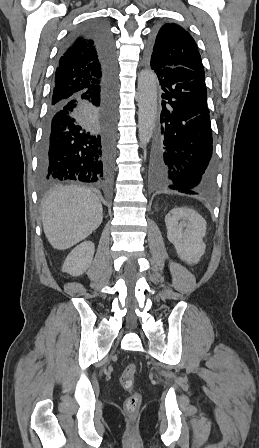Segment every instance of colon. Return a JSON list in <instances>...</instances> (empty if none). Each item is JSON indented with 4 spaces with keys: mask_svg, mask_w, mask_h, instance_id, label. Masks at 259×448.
<instances>
[{
    "mask_svg": "<svg viewBox=\"0 0 259 448\" xmlns=\"http://www.w3.org/2000/svg\"><path fill=\"white\" fill-rule=\"evenodd\" d=\"M137 372V366L134 363L128 364L121 375L120 381L123 388L130 393L124 402L126 413L133 417L137 414L141 405V395L134 390V378Z\"/></svg>",
    "mask_w": 259,
    "mask_h": 448,
    "instance_id": "colon-1",
    "label": "colon"
}]
</instances>
